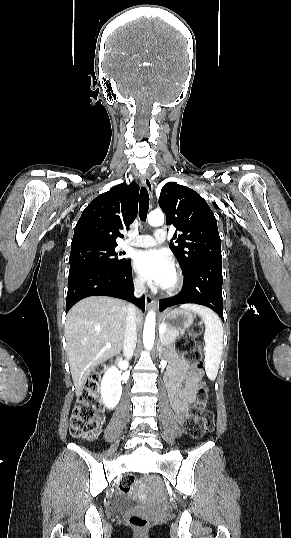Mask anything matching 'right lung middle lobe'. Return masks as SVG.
<instances>
[{"mask_svg": "<svg viewBox=\"0 0 291 538\" xmlns=\"http://www.w3.org/2000/svg\"><path fill=\"white\" fill-rule=\"evenodd\" d=\"M117 245H89L71 249L69 258L70 269L81 266L120 267L129 262L120 258L124 253L115 252Z\"/></svg>", "mask_w": 291, "mask_h": 538, "instance_id": "right-lung-middle-lobe-1", "label": "right lung middle lobe"}]
</instances>
